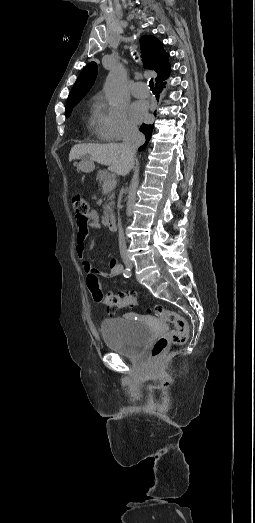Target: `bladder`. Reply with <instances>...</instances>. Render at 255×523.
<instances>
[{"instance_id": "bladder-1", "label": "bladder", "mask_w": 255, "mask_h": 523, "mask_svg": "<svg viewBox=\"0 0 255 523\" xmlns=\"http://www.w3.org/2000/svg\"><path fill=\"white\" fill-rule=\"evenodd\" d=\"M101 333L108 348L133 356L139 354V350L149 342L152 329L139 320L127 326L124 320L107 319L101 323Z\"/></svg>"}]
</instances>
